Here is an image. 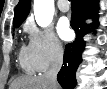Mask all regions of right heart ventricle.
Listing matches in <instances>:
<instances>
[{
  "label": "right heart ventricle",
  "mask_w": 107,
  "mask_h": 89,
  "mask_svg": "<svg viewBox=\"0 0 107 89\" xmlns=\"http://www.w3.org/2000/svg\"><path fill=\"white\" fill-rule=\"evenodd\" d=\"M19 61L22 69L27 73H34L37 71L32 59L31 52L28 47L23 46L19 53Z\"/></svg>",
  "instance_id": "obj_1"
}]
</instances>
